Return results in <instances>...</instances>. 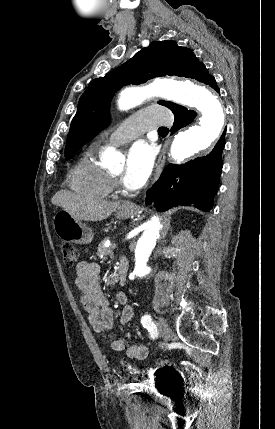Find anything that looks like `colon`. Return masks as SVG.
<instances>
[{"label":"colon","instance_id":"5ec220e1","mask_svg":"<svg viewBox=\"0 0 275 429\" xmlns=\"http://www.w3.org/2000/svg\"><path fill=\"white\" fill-rule=\"evenodd\" d=\"M63 259L67 267H72L79 258V250L71 243H65L62 246ZM172 362L168 358L159 359L157 362V370H166L171 368ZM132 369L130 366L128 367Z\"/></svg>","mask_w":275,"mask_h":429}]
</instances>
